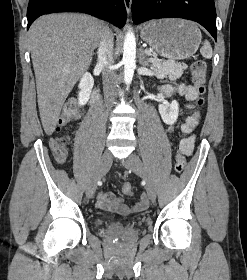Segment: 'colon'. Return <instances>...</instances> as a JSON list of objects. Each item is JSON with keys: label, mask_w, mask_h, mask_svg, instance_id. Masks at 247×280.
Listing matches in <instances>:
<instances>
[{"label": "colon", "mask_w": 247, "mask_h": 280, "mask_svg": "<svg viewBox=\"0 0 247 280\" xmlns=\"http://www.w3.org/2000/svg\"><path fill=\"white\" fill-rule=\"evenodd\" d=\"M191 78L195 89L198 92L199 97L197 98V105L202 106L204 100L202 98V94L205 90V79H206V64L204 61H196L193 63L191 67ZM77 116V106L74 101L68 102L62 115L58 121L57 130L60 131L64 128L73 118ZM197 117V114L194 116ZM67 138L65 136H60L53 138L50 142L51 149L56 156V158L60 161L64 160L67 155V147H66ZM186 166V158L184 154L180 151L177 152L174 161V168L176 172L181 173ZM121 190L126 195H132L134 192V188L130 183H123L121 186Z\"/></svg>", "instance_id": "1"}]
</instances>
